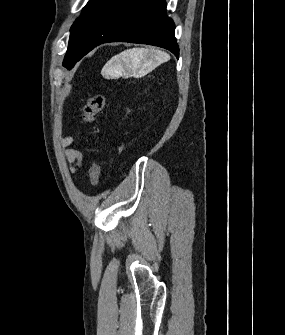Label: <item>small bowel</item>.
<instances>
[{
    "instance_id": "c3829d8e",
    "label": "small bowel",
    "mask_w": 285,
    "mask_h": 335,
    "mask_svg": "<svg viewBox=\"0 0 285 335\" xmlns=\"http://www.w3.org/2000/svg\"><path fill=\"white\" fill-rule=\"evenodd\" d=\"M72 142V138H66L64 144L67 146ZM66 155L68 160L73 164H79L81 161V153L75 149H67Z\"/></svg>"
}]
</instances>
